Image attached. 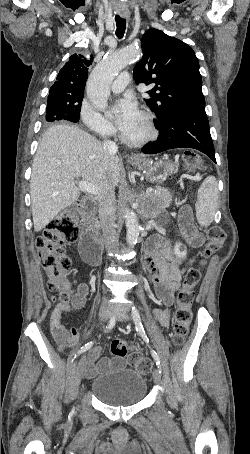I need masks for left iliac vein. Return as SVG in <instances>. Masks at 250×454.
<instances>
[{"mask_svg": "<svg viewBox=\"0 0 250 454\" xmlns=\"http://www.w3.org/2000/svg\"><path fill=\"white\" fill-rule=\"evenodd\" d=\"M114 317H116V319L121 322L128 320V315L125 312L118 310V309L115 310ZM160 380H161V374H160L159 369L156 368L153 372V381L155 383H159Z\"/></svg>", "mask_w": 250, "mask_h": 454, "instance_id": "left-iliac-vein-1", "label": "left iliac vein"}]
</instances>
